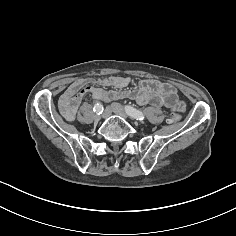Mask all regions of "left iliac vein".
Segmentation results:
<instances>
[{
  "instance_id": "left-iliac-vein-1",
  "label": "left iliac vein",
  "mask_w": 236,
  "mask_h": 236,
  "mask_svg": "<svg viewBox=\"0 0 236 236\" xmlns=\"http://www.w3.org/2000/svg\"><path fill=\"white\" fill-rule=\"evenodd\" d=\"M111 110L116 115H119V116H121V117H123L125 119L128 117L124 107L121 104H119V103H112L111 104Z\"/></svg>"
}]
</instances>
